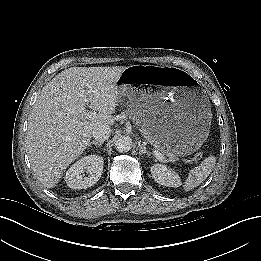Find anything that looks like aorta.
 Returning <instances> with one entry per match:
<instances>
[{
  "label": "aorta",
  "mask_w": 261,
  "mask_h": 261,
  "mask_svg": "<svg viewBox=\"0 0 261 261\" xmlns=\"http://www.w3.org/2000/svg\"><path fill=\"white\" fill-rule=\"evenodd\" d=\"M115 148L118 152H128L132 148V139L129 136H120L115 141Z\"/></svg>",
  "instance_id": "762f6f07"
}]
</instances>
